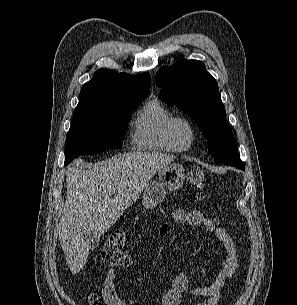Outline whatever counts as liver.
Returning <instances> with one entry per match:
<instances>
[{"instance_id": "1", "label": "liver", "mask_w": 297, "mask_h": 305, "mask_svg": "<svg viewBox=\"0 0 297 305\" xmlns=\"http://www.w3.org/2000/svg\"><path fill=\"white\" fill-rule=\"evenodd\" d=\"M173 160L174 156L158 152H130L87 171L79 159L68 167L59 240L72 274L84 267L89 255L83 232L104 233L137 200L155 173Z\"/></svg>"}]
</instances>
